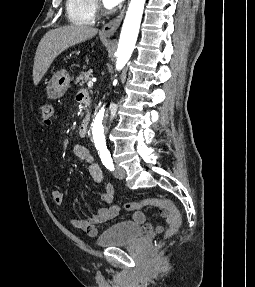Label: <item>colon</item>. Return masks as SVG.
Masks as SVG:
<instances>
[{"mask_svg": "<svg viewBox=\"0 0 255 287\" xmlns=\"http://www.w3.org/2000/svg\"><path fill=\"white\" fill-rule=\"evenodd\" d=\"M39 116L46 126H50L54 118V109L50 104H43L39 107ZM148 206H158L168 211L170 216V227L167 230L165 236H173L181 227L182 216L179 210L166 199L160 198H149L140 202H129L126 203L124 208L127 211L137 210Z\"/></svg>", "mask_w": 255, "mask_h": 287, "instance_id": "1", "label": "colon"}]
</instances>
